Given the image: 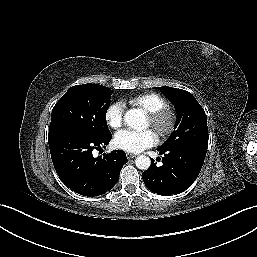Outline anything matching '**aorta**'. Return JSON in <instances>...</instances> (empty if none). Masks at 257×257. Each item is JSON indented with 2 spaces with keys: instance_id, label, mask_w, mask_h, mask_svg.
Listing matches in <instances>:
<instances>
[{
  "instance_id": "1",
  "label": "aorta",
  "mask_w": 257,
  "mask_h": 257,
  "mask_svg": "<svg viewBox=\"0 0 257 257\" xmlns=\"http://www.w3.org/2000/svg\"><path fill=\"white\" fill-rule=\"evenodd\" d=\"M124 120L131 128L137 130H144L146 128V119L140 110L130 109L125 113ZM135 164L138 169L147 170L151 165V160L148 156L140 155L135 159Z\"/></svg>"
}]
</instances>
